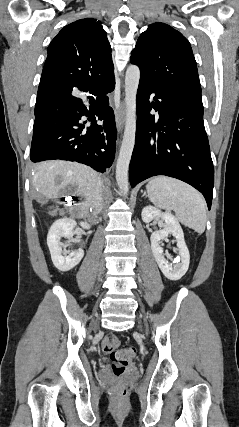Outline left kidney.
<instances>
[{
    "instance_id": "5707ae66",
    "label": "left kidney",
    "mask_w": 239,
    "mask_h": 427,
    "mask_svg": "<svg viewBox=\"0 0 239 427\" xmlns=\"http://www.w3.org/2000/svg\"><path fill=\"white\" fill-rule=\"evenodd\" d=\"M141 216L145 223L151 222L154 218H161L165 222L162 230L151 234V249L164 276L170 280H179L188 270L190 255L178 220L170 212H161L153 206L143 208ZM169 234L176 238L180 255L173 264L166 261L163 256V248L160 245V241L167 238Z\"/></svg>"
}]
</instances>
